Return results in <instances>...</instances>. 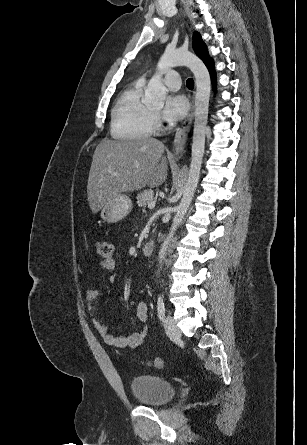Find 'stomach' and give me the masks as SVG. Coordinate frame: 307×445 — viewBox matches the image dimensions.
Instances as JSON below:
<instances>
[{
	"label": "stomach",
	"instance_id": "1",
	"mask_svg": "<svg viewBox=\"0 0 307 445\" xmlns=\"http://www.w3.org/2000/svg\"><path fill=\"white\" fill-rule=\"evenodd\" d=\"M132 210V200L127 194H114L108 198L106 204L101 208L100 216L104 223H118Z\"/></svg>",
	"mask_w": 307,
	"mask_h": 445
}]
</instances>
